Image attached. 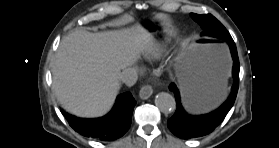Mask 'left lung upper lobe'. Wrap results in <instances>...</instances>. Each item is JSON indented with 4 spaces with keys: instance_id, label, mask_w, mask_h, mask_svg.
Returning a JSON list of instances; mask_svg holds the SVG:
<instances>
[{
    "instance_id": "5c2ea615",
    "label": "left lung upper lobe",
    "mask_w": 279,
    "mask_h": 148,
    "mask_svg": "<svg viewBox=\"0 0 279 148\" xmlns=\"http://www.w3.org/2000/svg\"><path fill=\"white\" fill-rule=\"evenodd\" d=\"M190 15L201 25L203 29L202 36L222 40L231 37L226 28L211 14L198 15L191 13Z\"/></svg>"
}]
</instances>
